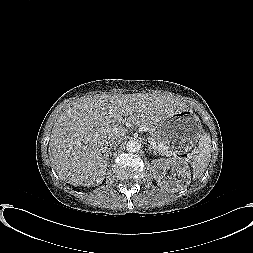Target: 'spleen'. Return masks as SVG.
<instances>
[{"mask_svg": "<svg viewBox=\"0 0 253 253\" xmlns=\"http://www.w3.org/2000/svg\"><path fill=\"white\" fill-rule=\"evenodd\" d=\"M199 150L192 161L193 178H199L207 169L211 158V137L208 133L201 135Z\"/></svg>", "mask_w": 253, "mask_h": 253, "instance_id": "obj_1", "label": "spleen"}]
</instances>
